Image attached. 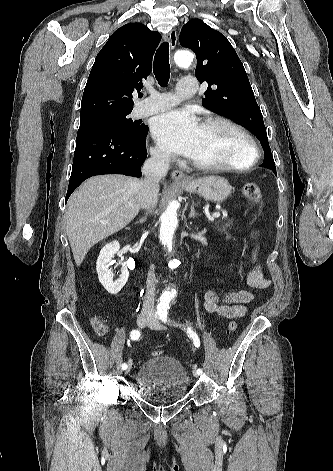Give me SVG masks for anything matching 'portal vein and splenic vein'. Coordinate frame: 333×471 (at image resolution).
<instances>
[{
    "mask_svg": "<svg viewBox=\"0 0 333 471\" xmlns=\"http://www.w3.org/2000/svg\"><path fill=\"white\" fill-rule=\"evenodd\" d=\"M221 216L220 212H215L211 216L208 217L209 220H214L215 218H219Z\"/></svg>",
    "mask_w": 333,
    "mask_h": 471,
    "instance_id": "1",
    "label": "portal vein and splenic vein"
}]
</instances>
